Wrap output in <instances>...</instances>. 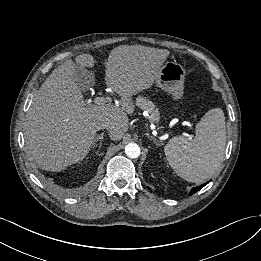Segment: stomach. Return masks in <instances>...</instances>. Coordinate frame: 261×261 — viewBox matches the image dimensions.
I'll return each instance as SVG.
<instances>
[{
    "instance_id": "obj_1",
    "label": "stomach",
    "mask_w": 261,
    "mask_h": 261,
    "mask_svg": "<svg viewBox=\"0 0 261 261\" xmlns=\"http://www.w3.org/2000/svg\"><path fill=\"white\" fill-rule=\"evenodd\" d=\"M185 75L183 66L175 61H168L161 67L155 83L157 87L171 94L175 100H179L184 94Z\"/></svg>"
}]
</instances>
